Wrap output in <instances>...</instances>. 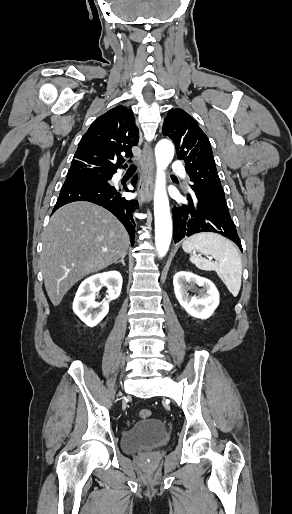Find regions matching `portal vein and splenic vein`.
Here are the masks:
<instances>
[{
    "instance_id": "obj_1",
    "label": "portal vein and splenic vein",
    "mask_w": 292,
    "mask_h": 514,
    "mask_svg": "<svg viewBox=\"0 0 292 514\" xmlns=\"http://www.w3.org/2000/svg\"><path fill=\"white\" fill-rule=\"evenodd\" d=\"M102 252H107V250H102Z\"/></svg>"
}]
</instances>
